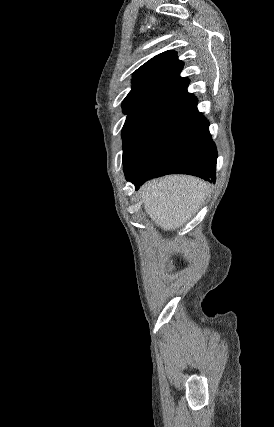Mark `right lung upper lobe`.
Segmentation results:
<instances>
[{
  "mask_svg": "<svg viewBox=\"0 0 274 427\" xmlns=\"http://www.w3.org/2000/svg\"><path fill=\"white\" fill-rule=\"evenodd\" d=\"M183 62L175 51H165L147 61L133 74L132 89L122 106L158 100L176 105L193 97L187 92L189 80L179 76Z\"/></svg>",
  "mask_w": 274,
  "mask_h": 427,
  "instance_id": "obj_1",
  "label": "right lung upper lobe"
}]
</instances>
